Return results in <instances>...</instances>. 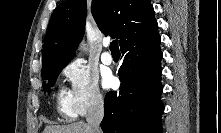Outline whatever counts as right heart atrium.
I'll return each instance as SVG.
<instances>
[{"mask_svg":"<svg viewBox=\"0 0 221 133\" xmlns=\"http://www.w3.org/2000/svg\"><path fill=\"white\" fill-rule=\"evenodd\" d=\"M63 75L69 82V97L77 115H86L102 108L104 95L94 70L81 60H74L64 67Z\"/></svg>","mask_w":221,"mask_h":133,"instance_id":"obj_1","label":"right heart atrium"}]
</instances>
